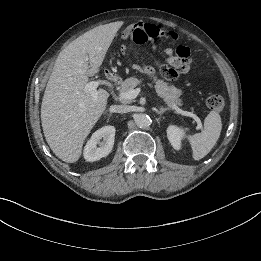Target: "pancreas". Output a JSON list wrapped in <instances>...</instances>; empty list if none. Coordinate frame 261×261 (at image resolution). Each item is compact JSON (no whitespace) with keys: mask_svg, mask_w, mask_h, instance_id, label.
I'll list each match as a JSON object with an SVG mask.
<instances>
[{"mask_svg":"<svg viewBox=\"0 0 261 261\" xmlns=\"http://www.w3.org/2000/svg\"><path fill=\"white\" fill-rule=\"evenodd\" d=\"M139 82L140 81L136 77L127 78L120 86V93L134 89ZM153 82L155 83V89L158 96L163 98L171 108H173L174 105H181V101L179 99L182 94L181 90L177 89L175 86H170L167 82L156 77L153 78ZM121 102L130 103L131 101L121 98Z\"/></svg>","mask_w":261,"mask_h":261,"instance_id":"cf45deb5","label":"pancreas"}]
</instances>
